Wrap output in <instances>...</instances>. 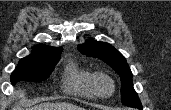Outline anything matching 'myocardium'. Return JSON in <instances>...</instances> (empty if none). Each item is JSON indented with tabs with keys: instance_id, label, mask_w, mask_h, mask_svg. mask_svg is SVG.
<instances>
[{
	"instance_id": "myocardium-1",
	"label": "myocardium",
	"mask_w": 171,
	"mask_h": 110,
	"mask_svg": "<svg viewBox=\"0 0 171 110\" xmlns=\"http://www.w3.org/2000/svg\"><path fill=\"white\" fill-rule=\"evenodd\" d=\"M101 79H106L111 84V92L109 94H104L99 89V82ZM92 88L95 96L100 98H109L115 93L116 85L113 77L106 71H98L92 74L91 78Z\"/></svg>"
}]
</instances>
